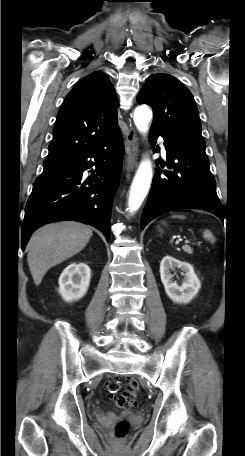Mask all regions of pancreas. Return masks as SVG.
Masks as SVG:
<instances>
[{
  "label": "pancreas",
  "mask_w": 245,
  "mask_h": 456,
  "mask_svg": "<svg viewBox=\"0 0 245 456\" xmlns=\"http://www.w3.org/2000/svg\"><path fill=\"white\" fill-rule=\"evenodd\" d=\"M183 250H184L185 252H187L188 254H192V253H193L192 248H191L190 246H188V245L184 246V247H183Z\"/></svg>",
  "instance_id": "cf45deb5"
}]
</instances>
